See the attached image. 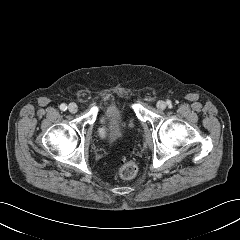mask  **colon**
Wrapping results in <instances>:
<instances>
[{
    "label": "colon",
    "instance_id": "obj_1",
    "mask_svg": "<svg viewBox=\"0 0 240 240\" xmlns=\"http://www.w3.org/2000/svg\"><path fill=\"white\" fill-rule=\"evenodd\" d=\"M138 168L134 162L124 161L119 169V176L124 180L132 179L136 176Z\"/></svg>",
    "mask_w": 240,
    "mask_h": 240
}]
</instances>
